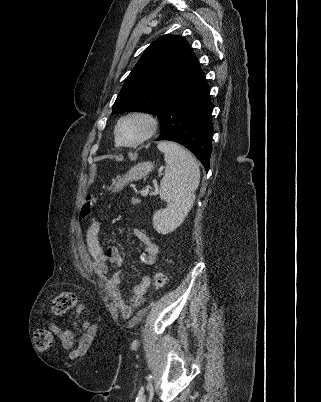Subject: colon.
I'll list each match as a JSON object with an SVG mask.
<instances>
[{"label":"colon","mask_w":321,"mask_h":402,"mask_svg":"<svg viewBox=\"0 0 321 402\" xmlns=\"http://www.w3.org/2000/svg\"><path fill=\"white\" fill-rule=\"evenodd\" d=\"M96 204L95 197H87L80 209V218H87ZM167 281L166 275L158 271L153 277V284L155 288L161 289L165 286ZM77 303V296L72 291H64L56 295L52 300V311L56 315H62L72 310ZM34 341L38 349H48L53 341L51 331L45 327H39L34 334Z\"/></svg>","instance_id":"colon-1"}]
</instances>
